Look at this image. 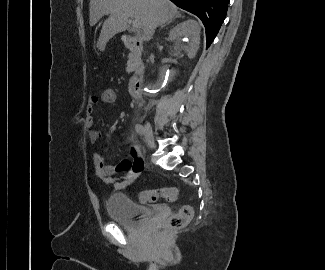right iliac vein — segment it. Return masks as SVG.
Listing matches in <instances>:
<instances>
[{
  "label": "right iliac vein",
  "instance_id": "1",
  "mask_svg": "<svg viewBox=\"0 0 325 270\" xmlns=\"http://www.w3.org/2000/svg\"><path fill=\"white\" fill-rule=\"evenodd\" d=\"M143 134L145 136V139H146V142L148 143V145L151 148H154L155 147V142H154L153 132H152V129H151L150 125L147 124L145 126Z\"/></svg>",
  "mask_w": 325,
  "mask_h": 270
}]
</instances>
